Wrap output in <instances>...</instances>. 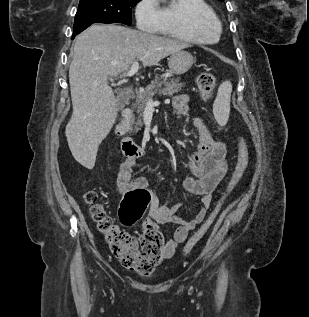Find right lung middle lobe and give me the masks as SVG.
<instances>
[{
  "label": "right lung middle lobe",
  "instance_id": "1",
  "mask_svg": "<svg viewBox=\"0 0 309 317\" xmlns=\"http://www.w3.org/2000/svg\"><path fill=\"white\" fill-rule=\"evenodd\" d=\"M140 0H80L73 28L89 23L131 25V9Z\"/></svg>",
  "mask_w": 309,
  "mask_h": 317
}]
</instances>
